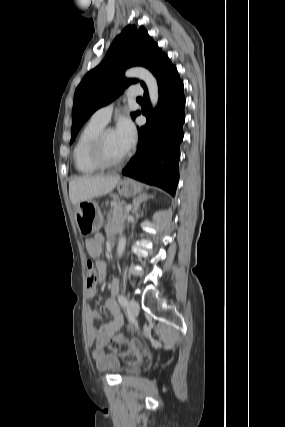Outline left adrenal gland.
I'll return each instance as SVG.
<instances>
[{
  "label": "left adrenal gland",
  "instance_id": "a2214340",
  "mask_svg": "<svg viewBox=\"0 0 285 427\" xmlns=\"http://www.w3.org/2000/svg\"><path fill=\"white\" fill-rule=\"evenodd\" d=\"M153 196H149L147 194H141L133 199V209L132 212L136 213L140 207L142 202H145L148 198H152Z\"/></svg>",
  "mask_w": 285,
  "mask_h": 427
}]
</instances>
